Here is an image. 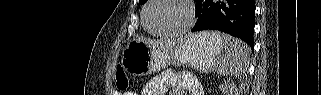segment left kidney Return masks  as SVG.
Returning a JSON list of instances; mask_svg holds the SVG:
<instances>
[{
    "mask_svg": "<svg viewBox=\"0 0 321 95\" xmlns=\"http://www.w3.org/2000/svg\"><path fill=\"white\" fill-rule=\"evenodd\" d=\"M221 90H222V92H224V93H226L227 95H236V91L235 90H233V88L231 87H228V88H225V87H223V88H221Z\"/></svg>",
    "mask_w": 321,
    "mask_h": 95,
    "instance_id": "5707ae66",
    "label": "left kidney"
}]
</instances>
